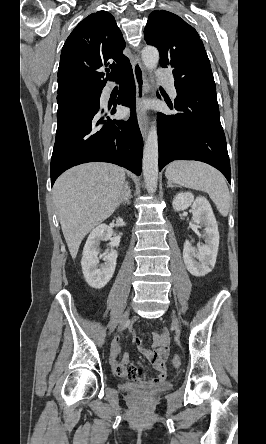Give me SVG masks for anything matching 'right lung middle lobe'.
Returning a JSON list of instances; mask_svg holds the SVG:
<instances>
[{"label": "right lung middle lobe", "instance_id": "1", "mask_svg": "<svg viewBox=\"0 0 266 444\" xmlns=\"http://www.w3.org/2000/svg\"><path fill=\"white\" fill-rule=\"evenodd\" d=\"M100 92L74 93L57 97V122L63 123L79 113H87L99 105Z\"/></svg>", "mask_w": 266, "mask_h": 444}]
</instances>
